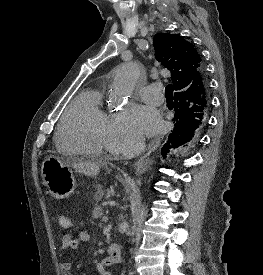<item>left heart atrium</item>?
<instances>
[{
	"label": "left heart atrium",
	"instance_id": "obj_1",
	"mask_svg": "<svg viewBox=\"0 0 263 275\" xmlns=\"http://www.w3.org/2000/svg\"><path fill=\"white\" fill-rule=\"evenodd\" d=\"M132 123L134 129L148 136L154 135L162 128L159 112L151 106H137L133 109Z\"/></svg>",
	"mask_w": 263,
	"mask_h": 275
}]
</instances>
